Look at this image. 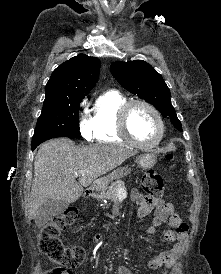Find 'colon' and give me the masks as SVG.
I'll return each mask as SVG.
<instances>
[{
  "mask_svg": "<svg viewBox=\"0 0 221 274\" xmlns=\"http://www.w3.org/2000/svg\"><path fill=\"white\" fill-rule=\"evenodd\" d=\"M171 160L173 156L167 155ZM142 187L150 199H160L164 193V180L155 172H146L142 177ZM78 217L76 208H68L61 215L52 217L44 223L39 232L38 246L57 267L46 274H72V270L79 267L84 259L85 252L81 247L65 246L61 239V232L72 225Z\"/></svg>",
  "mask_w": 221,
  "mask_h": 274,
  "instance_id": "obj_1",
  "label": "colon"
}]
</instances>
